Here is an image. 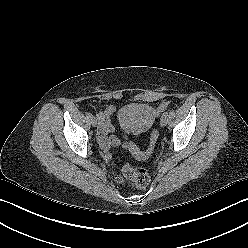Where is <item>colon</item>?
<instances>
[{
	"label": "colon",
	"instance_id": "colon-1",
	"mask_svg": "<svg viewBox=\"0 0 248 248\" xmlns=\"http://www.w3.org/2000/svg\"><path fill=\"white\" fill-rule=\"evenodd\" d=\"M158 138L156 130L152 131L150 137V144L146 151H141L134 143L126 142L124 147L128 149L137 158H147L153 152ZM118 183H127L132 188L141 189L148 185L150 177L148 172L143 168L132 167L130 164L125 163L119 174L116 175Z\"/></svg>",
	"mask_w": 248,
	"mask_h": 248
}]
</instances>
